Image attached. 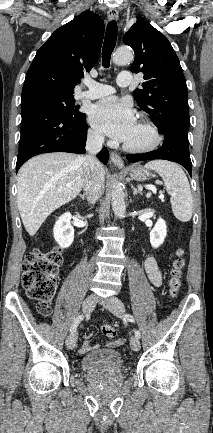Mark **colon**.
Masks as SVG:
<instances>
[{
    "label": "colon",
    "instance_id": "obj_1",
    "mask_svg": "<svg viewBox=\"0 0 213 433\" xmlns=\"http://www.w3.org/2000/svg\"><path fill=\"white\" fill-rule=\"evenodd\" d=\"M61 264L62 254L59 248L48 251L36 248L27 253L22 263V286L27 295L38 302L37 309L42 315L51 312L50 303L56 291ZM184 267V252L179 248L170 269L169 287L172 296H176L181 287ZM101 330L108 338L116 335V329L110 324H104Z\"/></svg>",
    "mask_w": 213,
    "mask_h": 433
}]
</instances>
